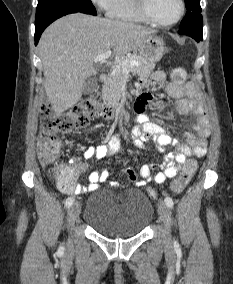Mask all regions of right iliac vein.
<instances>
[{"instance_id": "63e3f726", "label": "right iliac vein", "mask_w": 233, "mask_h": 284, "mask_svg": "<svg viewBox=\"0 0 233 284\" xmlns=\"http://www.w3.org/2000/svg\"><path fill=\"white\" fill-rule=\"evenodd\" d=\"M79 214H80V204L76 202L72 206H70L68 210V221L70 227L74 225Z\"/></svg>"}]
</instances>
